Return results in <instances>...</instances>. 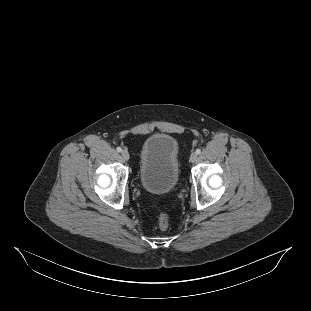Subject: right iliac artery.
<instances>
[{
    "label": "right iliac artery",
    "instance_id": "82829eb1",
    "mask_svg": "<svg viewBox=\"0 0 311 311\" xmlns=\"http://www.w3.org/2000/svg\"><path fill=\"white\" fill-rule=\"evenodd\" d=\"M117 151H118V152H121V151H122V148H121V147H117Z\"/></svg>",
    "mask_w": 311,
    "mask_h": 311
}]
</instances>
